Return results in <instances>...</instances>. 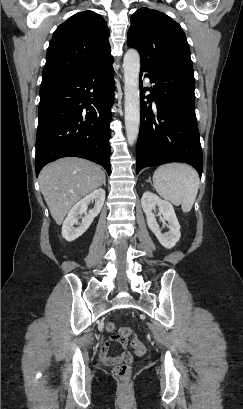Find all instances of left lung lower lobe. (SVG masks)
<instances>
[{"mask_svg": "<svg viewBox=\"0 0 243 409\" xmlns=\"http://www.w3.org/2000/svg\"><path fill=\"white\" fill-rule=\"evenodd\" d=\"M140 87L142 88V73ZM145 75L153 85L141 91L136 173L144 167L185 162L202 174V150L195 115L193 68L174 66ZM145 92V91H144ZM152 102L155 103L152 106Z\"/></svg>", "mask_w": 243, "mask_h": 409, "instance_id": "left-lung-lower-lobe-1", "label": "left lung lower lobe"}]
</instances>
